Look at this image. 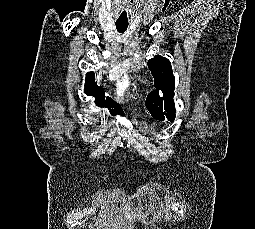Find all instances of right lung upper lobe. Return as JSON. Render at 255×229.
Instances as JSON below:
<instances>
[{"label":"right lung upper lobe","mask_w":255,"mask_h":229,"mask_svg":"<svg viewBox=\"0 0 255 229\" xmlns=\"http://www.w3.org/2000/svg\"><path fill=\"white\" fill-rule=\"evenodd\" d=\"M84 93L88 96H94L95 97V103L99 107H107L112 108L115 107V102L111 98L105 99L104 91L96 85L95 82V74L94 72H88L86 74V82H85V91ZM111 115L121 114L123 115V112L118 109H112L110 110Z\"/></svg>","instance_id":"cb5924a9"}]
</instances>
